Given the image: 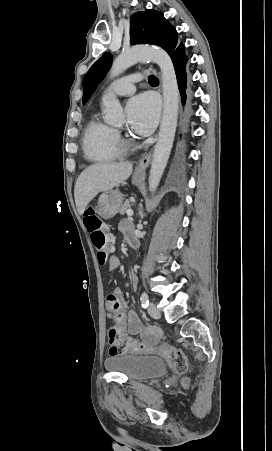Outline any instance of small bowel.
I'll return each instance as SVG.
<instances>
[{
	"instance_id": "obj_1",
	"label": "small bowel",
	"mask_w": 272,
	"mask_h": 451,
	"mask_svg": "<svg viewBox=\"0 0 272 451\" xmlns=\"http://www.w3.org/2000/svg\"><path fill=\"white\" fill-rule=\"evenodd\" d=\"M120 231L124 234L126 240L132 235H135L134 227L131 221L125 219L119 224ZM109 243L114 242L112 236L108 237ZM120 266V259L116 255H111L108 259L107 267L109 270L117 269ZM131 281L134 288L138 284V276L135 271L131 274ZM107 308L111 316L123 315L127 308V303L124 300L123 292L120 288H116L111 294L107 296ZM141 334L144 343L157 345L160 342V333L155 328L143 329L141 321L135 311L130 310L126 316V324L119 325L117 331V338L123 339L128 335Z\"/></svg>"
}]
</instances>
